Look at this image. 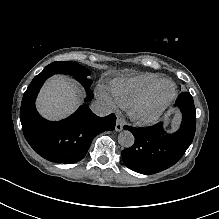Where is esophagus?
I'll return each instance as SVG.
<instances>
[{
  "label": "esophagus",
  "mask_w": 219,
  "mask_h": 219,
  "mask_svg": "<svg viewBox=\"0 0 219 219\" xmlns=\"http://www.w3.org/2000/svg\"><path fill=\"white\" fill-rule=\"evenodd\" d=\"M123 126H124V124H123L121 118H117V122H116V126H115V131H118V132L122 131L123 130Z\"/></svg>",
  "instance_id": "obj_1"
}]
</instances>
